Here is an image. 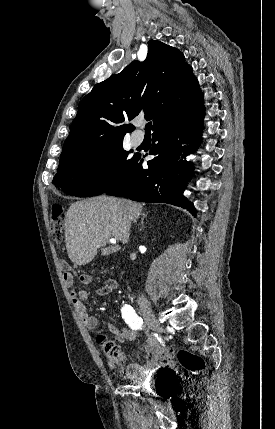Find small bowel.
Here are the masks:
<instances>
[{"label": "small bowel", "mask_w": 275, "mask_h": 429, "mask_svg": "<svg viewBox=\"0 0 275 429\" xmlns=\"http://www.w3.org/2000/svg\"><path fill=\"white\" fill-rule=\"evenodd\" d=\"M79 281L82 284H90L92 282V277L89 274L83 273L78 276ZM64 280L66 284L71 289L72 302L75 307V310L79 314L83 324L89 330H95L98 328L99 320L96 316L90 315L87 313V308L85 305V301L87 299V292L84 290H74L73 289V281L74 276L73 273L68 270L64 273ZM117 287V283L113 279L107 280L99 289L98 293L100 295H108L112 293ZM109 331L113 334L118 335L122 339L132 341L137 337V331L132 328L120 327L116 324L109 325ZM145 353V364L132 363L128 366L122 368L123 373L128 378H138L148 374L149 372L157 370L159 365V359L161 357V346L158 341L154 338H148L145 343L144 348Z\"/></svg>", "instance_id": "c3829d8e"}]
</instances>
